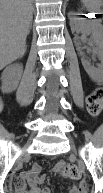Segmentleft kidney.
<instances>
[{"label": "left kidney", "mask_w": 103, "mask_h": 193, "mask_svg": "<svg viewBox=\"0 0 103 193\" xmlns=\"http://www.w3.org/2000/svg\"><path fill=\"white\" fill-rule=\"evenodd\" d=\"M71 30L83 29L86 34H92V43L95 52L97 53L101 63L97 67L93 66L88 60L82 58V65L94 81H101L103 78V40L102 31L100 28L95 27L92 21L84 20L83 18H77L76 13H69Z\"/></svg>", "instance_id": "left-kidney-1"}]
</instances>
